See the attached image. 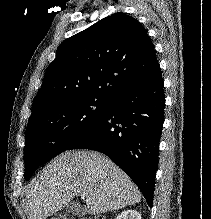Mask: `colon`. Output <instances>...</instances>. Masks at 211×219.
<instances>
[{"mask_svg": "<svg viewBox=\"0 0 211 219\" xmlns=\"http://www.w3.org/2000/svg\"><path fill=\"white\" fill-rule=\"evenodd\" d=\"M51 219H75V218L70 216V215H59V216L53 217ZM82 219H104V217L95 215V216H87V217H84Z\"/></svg>", "mask_w": 211, "mask_h": 219, "instance_id": "5ec220e1", "label": "colon"}]
</instances>
